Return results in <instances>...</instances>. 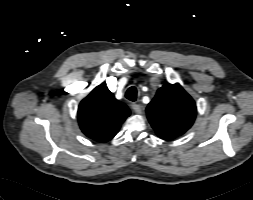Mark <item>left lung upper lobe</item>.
Here are the masks:
<instances>
[{"mask_svg":"<svg viewBox=\"0 0 253 200\" xmlns=\"http://www.w3.org/2000/svg\"><path fill=\"white\" fill-rule=\"evenodd\" d=\"M146 112L159 137L175 138L192 126L196 105L179 84H167L158 89Z\"/></svg>","mask_w":253,"mask_h":200,"instance_id":"left-lung-upper-lobe-1","label":"left lung upper lobe"}]
</instances>
